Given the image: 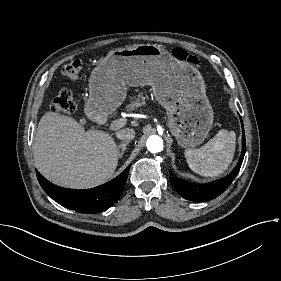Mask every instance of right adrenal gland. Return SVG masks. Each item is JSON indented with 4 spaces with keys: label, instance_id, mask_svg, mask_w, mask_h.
<instances>
[{
    "label": "right adrenal gland",
    "instance_id": "1",
    "mask_svg": "<svg viewBox=\"0 0 281 281\" xmlns=\"http://www.w3.org/2000/svg\"><path fill=\"white\" fill-rule=\"evenodd\" d=\"M129 144V140L127 141H122V142H117V146H116V152H117V157L119 156H123L125 150L127 149V145ZM122 148L121 150L119 148Z\"/></svg>",
    "mask_w": 281,
    "mask_h": 281
}]
</instances>
